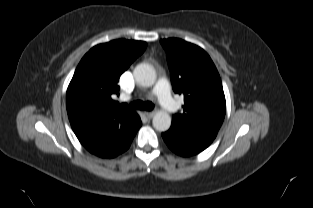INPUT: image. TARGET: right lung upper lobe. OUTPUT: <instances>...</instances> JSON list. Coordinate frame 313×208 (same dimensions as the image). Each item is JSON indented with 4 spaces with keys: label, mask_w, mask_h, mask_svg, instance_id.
<instances>
[{
    "label": "right lung upper lobe",
    "mask_w": 313,
    "mask_h": 208,
    "mask_svg": "<svg viewBox=\"0 0 313 208\" xmlns=\"http://www.w3.org/2000/svg\"><path fill=\"white\" fill-rule=\"evenodd\" d=\"M147 44L126 39L94 46L81 59L66 93L71 126L95 125L107 120L123 124L133 121L136 113L112 99L119 95L121 74L141 55Z\"/></svg>",
    "instance_id": "cb5924a9"
}]
</instances>
